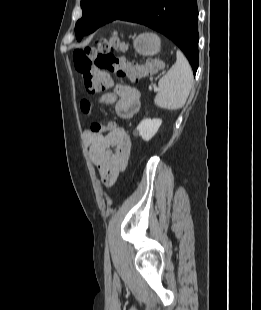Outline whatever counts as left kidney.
I'll return each instance as SVG.
<instances>
[{
    "mask_svg": "<svg viewBox=\"0 0 261 310\" xmlns=\"http://www.w3.org/2000/svg\"><path fill=\"white\" fill-rule=\"evenodd\" d=\"M161 124V119H144L137 126L136 132L143 140L149 141L157 133Z\"/></svg>",
    "mask_w": 261,
    "mask_h": 310,
    "instance_id": "1",
    "label": "left kidney"
}]
</instances>
